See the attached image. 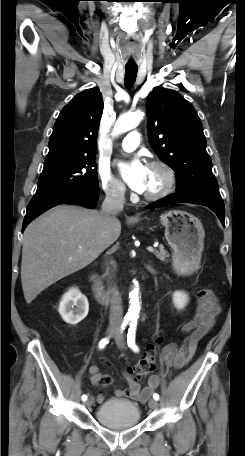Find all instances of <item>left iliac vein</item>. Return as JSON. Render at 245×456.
<instances>
[{
    "mask_svg": "<svg viewBox=\"0 0 245 456\" xmlns=\"http://www.w3.org/2000/svg\"><path fill=\"white\" fill-rule=\"evenodd\" d=\"M115 342L120 349L125 348L124 336L122 334L115 335ZM158 406H159V404H158L157 400L151 399L149 401V407L151 409L156 410L158 408Z\"/></svg>",
    "mask_w": 245,
    "mask_h": 456,
    "instance_id": "4c4485c4",
    "label": "left iliac vein"
}]
</instances>
